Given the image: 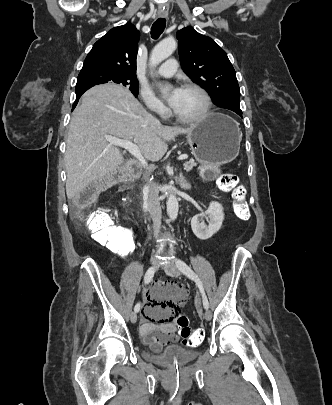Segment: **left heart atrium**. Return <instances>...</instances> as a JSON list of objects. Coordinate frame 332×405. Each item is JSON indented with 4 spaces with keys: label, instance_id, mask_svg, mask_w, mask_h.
Returning <instances> with one entry per match:
<instances>
[{
    "label": "left heart atrium",
    "instance_id": "1",
    "mask_svg": "<svg viewBox=\"0 0 332 405\" xmlns=\"http://www.w3.org/2000/svg\"><path fill=\"white\" fill-rule=\"evenodd\" d=\"M180 92H181L180 88H176V89L173 90V92H172V94L170 96V99H169V103H170V105L172 107L175 105V103H176V101H177V99H178V97L180 95Z\"/></svg>",
    "mask_w": 332,
    "mask_h": 405
}]
</instances>
